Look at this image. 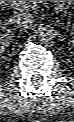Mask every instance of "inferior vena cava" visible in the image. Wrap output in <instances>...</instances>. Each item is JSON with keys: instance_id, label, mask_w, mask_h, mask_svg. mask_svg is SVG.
Segmentation results:
<instances>
[{"instance_id": "602c4592", "label": "inferior vena cava", "mask_w": 74, "mask_h": 122, "mask_svg": "<svg viewBox=\"0 0 74 122\" xmlns=\"http://www.w3.org/2000/svg\"><path fill=\"white\" fill-rule=\"evenodd\" d=\"M33 15L27 10H21L14 16L15 22L21 26H29L33 22Z\"/></svg>"}]
</instances>
